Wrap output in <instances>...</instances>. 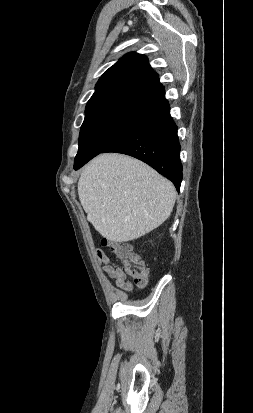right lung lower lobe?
<instances>
[{"label":"right lung lower lobe","mask_w":253,"mask_h":413,"mask_svg":"<svg viewBox=\"0 0 253 413\" xmlns=\"http://www.w3.org/2000/svg\"><path fill=\"white\" fill-rule=\"evenodd\" d=\"M105 152L127 154L147 163L171 180L179 191L182 181L180 144L169 106L148 117L141 126L108 147L103 153ZM84 164L74 169L77 170Z\"/></svg>","instance_id":"obj_1"}]
</instances>
